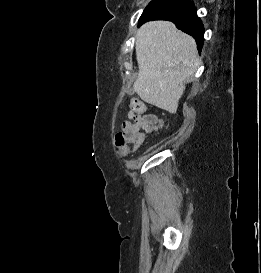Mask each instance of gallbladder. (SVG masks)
Wrapping results in <instances>:
<instances>
[{"label": "gallbladder", "mask_w": 261, "mask_h": 273, "mask_svg": "<svg viewBox=\"0 0 261 273\" xmlns=\"http://www.w3.org/2000/svg\"><path fill=\"white\" fill-rule=\"evenodd\" d=\"M128 94H129V95H133V94H134V89H133V88L130 89V90L128 91Z\"/></svg>", "instance_id": "1"}]
</instances>
